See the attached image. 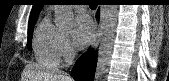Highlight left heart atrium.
Masks as SVG:
<instances>
[{
	"mask_svg": "<svg viewBox=\"0 0 169 81\" xmlns=\"http://www.w3.org/2000/svg\"><path fill=\"white\" fill-rule=\"evenodd\" d=\"M93 23L89 16L81 14L75 18L73 29V41L78 47L85 46L93 35Z\"/></svg>",
	"mask_w": 169,
	"mask_h": 81,
	"instance_id": "39dd6f15",
	"label": "left heart atrium"
}]
</instances>
